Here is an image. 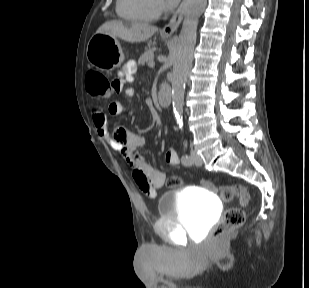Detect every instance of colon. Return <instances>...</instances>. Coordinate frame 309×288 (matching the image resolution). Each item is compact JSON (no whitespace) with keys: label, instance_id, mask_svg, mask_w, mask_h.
Returning <instances> with one entry per match:
<instances>
[{"label":"colon","instance_id":"1","mask_svg":"<svg viewBox=\"0 0 309 288\" xmlns=\"http://www.w3.org/2000/svg\"><path fill=\"white\" fill-rule=\"evenodd\" d=\"M86 89L95 97L108 99L113 94L119 93L122 88L118 82H110L103 74L91 71L86 76ZM166 185L170 188H178L182 184L181 178L171 176L167 178ZM202 186L214 191L223 202H230L237 199L241 206L232 207L225 211L222 219L212 232V239L219 240L230 231L242 226L245 222L243 206L249 202V193L241 184L217 186L208 181H202Z\"/></svg>","mask_w":309,"mask_h":288}]
</instances>
